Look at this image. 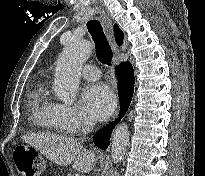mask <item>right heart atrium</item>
I'll use <instances>...</instances> for the list:
<instances>
[{
	"label": "right heart atrium",
	"instance_id": "1",
	"mask_svg": "<svg viewBox=\"0 0 205 176\" xmlns=\"http://www.w3.org/2000/svg\"><path fill=\"white\" fill-rule=\"evenodd\" d=\"M57 115L61 124L66 128H84L90 123L89 119L82 111L73 105L58 104Z\"/></svg>",
	"mask_w": 205,
	"mask_h": 176
}]
</instances>
